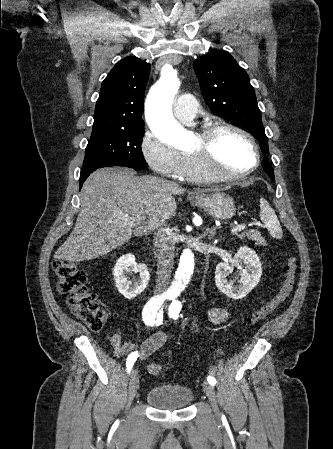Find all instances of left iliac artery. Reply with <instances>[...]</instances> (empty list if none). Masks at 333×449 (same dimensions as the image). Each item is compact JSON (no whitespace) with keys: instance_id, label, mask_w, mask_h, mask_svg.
Segmentation results:
<instances>
[{"instance_id":"left-iliac-artery-1","label":"left iliac artery","mask_w":333,"mask_h":449,"mask_svg":"<svg viewBox=\"0 0 333 449\" xmlns=\"http://www.w3.org/2000/svg\"><path fill=\"white\" fill-rule=\"evenodd\" d=\"M172 299H174V298H172ZM181 308H182L181 302H179L177 300H173V302L170 304L169 309H168L169 317L173 318V319H178ZM207 381L209 384H211L213 386L216 384V379L212 375H209L207 377Z\"/></svg>"}]
</instances>
